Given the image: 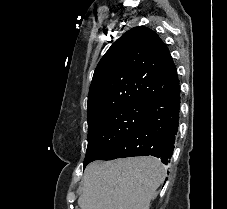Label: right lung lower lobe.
<instances>
[{"mask_svg":"<svg viewBox=\"0 0 227 209\" xmlns=\"http://www.w3.org/2000/svg\"><path fill=\"white\" fill-rule=\"evenodd\" d=\"M173 87L147 104L142 121L100 160L133 156H154L170 162L178 130L180 86L176 67L165 69Z\"/></svg>","mask_w":227,"mask_h":209,"instance_id":"1","label":"right lung lower lobe"}]
</instances>
